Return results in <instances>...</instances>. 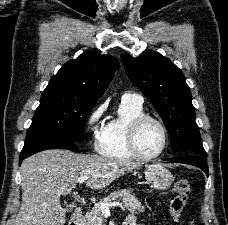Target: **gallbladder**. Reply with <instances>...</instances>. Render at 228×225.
<instances>
[{"label": "gallbladder", "mask_w": 228, "mask_h": 225, "mask_svg": "<svg viewBox=\"0 0 228 225\" xmlns=\"http://www.w3.org/2000/svg\"><path fill=\"white\" fill-rule=\"evenodd\" d=\"M65 211H72V205H66Z\"/></svg>", "instance_id": "1"}]
</instances>
